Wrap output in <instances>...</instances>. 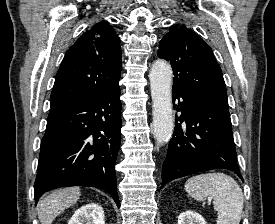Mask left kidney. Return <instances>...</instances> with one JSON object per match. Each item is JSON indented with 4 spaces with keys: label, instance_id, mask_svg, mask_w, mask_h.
<instances>
[{
    "label": "left kidney",
    "instance_id": "5707ae66",
    "mask_svg": "<svg viewBox=\"0 0 275 224\" xmlns=\"http://www.w3.org/2000/svg\"><path fill=\"white\" fill-rule=\"evenodd\" d=\"M178 224H207L204 218L195 211H185L178 217Z\"/></svg>",
    "mask_w": 275,
    "mask_h": 224
}]
</instances>
